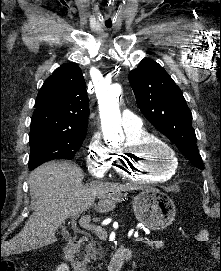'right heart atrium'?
<instances>
[{
  "mask_svg": "<svg viewBox=\"0 0 221 271\" xmlns=\"http://www.w3.org/2000/svg\"><path fill=\"white\" fill-rule=\"evenodd\" d=\"M99 146H89V156L87 159V167L94 170L95 177H106V173H112L115 159L118 154H111V151H99Z\"/></svg>",
  "mask_w": 221,
  "mask_h": 271,
  "instance_id": "1",
  "label": "right heart atrium"
}]
</instances>
